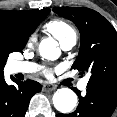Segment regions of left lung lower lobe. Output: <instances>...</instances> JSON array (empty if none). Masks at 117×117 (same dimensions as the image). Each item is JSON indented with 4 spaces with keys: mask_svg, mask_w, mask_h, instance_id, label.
I'll return each mask as SVG.
<instances>
[{
    "mask_svg": "<svg viewBox=\"0 0 117 117\" xmlns=\"http://www.w3.org/2000/svg\"><path fill=\"white\" fill-rule=\"evenodd\" d=\"M79 96V105L71 114H57L56 117H110L117 105V89L107 86H88L87 93Z\"/></svg>",
    "mask_w": 117,
    "mask_h": 117,
    "instance_id": "obj_1",
    "label": "left lung lower lobe"
}]
</instances>
